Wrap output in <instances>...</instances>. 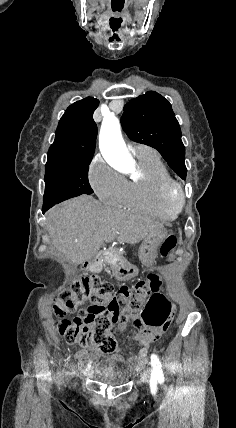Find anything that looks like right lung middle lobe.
Instances as JSON below:
<instances>
[{"instance_id": "1", "label": "right lung middle lobe", "mask_w": 236, "mask_h": 428, "mask_svg": "<svg viewBox=\"0 0 236 428\" xmlns=\"http://www.w3.org/2000/svg\"><path fill=\"white\" fill-rule=\"evenodd\" d=\"M91 160L92 158L48 159L43 205H55L81 194H92L88 181Z\"/></svg>"}]
</instances>
